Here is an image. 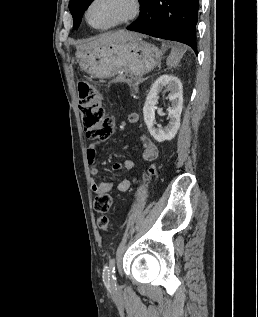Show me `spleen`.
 I'll use <instances>...</instances> for the list:
<instances>
[{
	"mask_svg": "<svg viewBox=\"0 0 258 317\" xmlns=\"http://www.w3.org/2000/svg\"><path fill=\"white\" fill-rule=\"evenodd\" d=\"M186 48H177V46H172L171 54H169L166 62L168 66H177L182 58Z\"/></svg>",
	"mask_w": 258,
	"mask_h": 317,
	"instance_id": "3e777b00",
	"label": "spleen"
}]
</instances>
